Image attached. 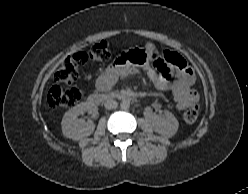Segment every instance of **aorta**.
<instances>
[{
	"label": "aorta",
	"mask_w": 248,
	"mask_h": 194,
	"mask_svg": "<svg viewBox=\"0 0 248 194\" xmlns=\"http://www.w3.org/2000/svg\"><path fill=\"white\" fill-rule=\"evenodd\" d=\"M120 107H121V109H123V110L129 109V107H130V101L127 100V99L122 100V102L120 103Z\"/></svg>",
	"instance_id": "762f6f07"
}]
</instances>
